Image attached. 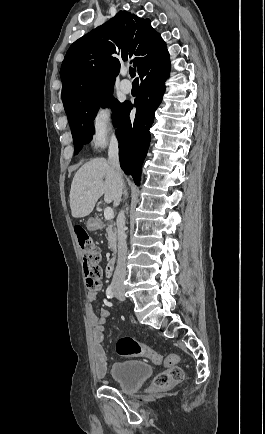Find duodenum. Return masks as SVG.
Listing matches in <instances>:
<instances>
[{"instance_id":"obj_1","label":"duodenum","mask_w":265,"mask_h":434,"mask_svg":"<svg viewBox=\"0 0 265 434\" xmlns=\"http://www.w3.org/2000/svg\"><path fill=\"white\" fill-rule=\"evenodd\" d=\"M108 230L111 231V228H108ZM115 266H116L115 258H112L107 262L105 267L106 276L111 277L113 275Z\"/></svg>"}]
</instances>
